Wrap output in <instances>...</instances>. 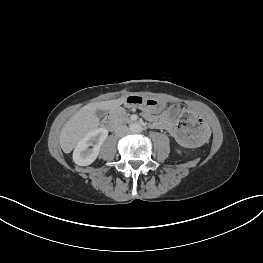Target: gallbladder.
I'll list each match as a JSON object with an SVG mask.
<instances>
[{
  "label": "gallbladder",
  "mask_w": 263,
  "mask_h": 263,
  "mask_svg": "<svg viewBox=\"0 0 263 263\" xmlns=\"http://www.w3.org/2000/svg\"><path fill=\"white\" fill-rule=\"evenodd\" d=\"M106 112L102 109L96 110V115L99 119H102L105 116Z\"/></svg>",
  "instance_id": "obj_1"
}]
</instances>
